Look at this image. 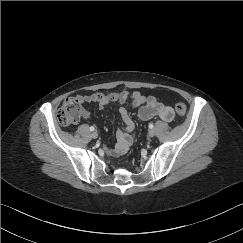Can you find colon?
<instances>
[{
	"mask_svg": "<svg viewBox=\"0 0 243 243\" xmlns=\"http://www.w3.org/2000/svg\"><path fill=\"white\" fill-rule=\"evenodd\" d=\"M112 96L115 97L116 95L112 94ZM81 104L82 100L79 97L66 98L56 114L58 122L64 126L76 124L82 116ZM174 109L178 115H184L187 107L184 103L178 102L175 104ZM129 153V151L125 152V154Z\"/></svg>",
	"mask_w": 243,
	"mask_h": 243,
	"instance_id": "1",
	"label": "colon"
}]
</instances>
